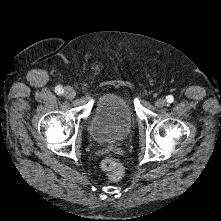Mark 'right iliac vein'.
Masks as SVG:
<instances>
[{"mask_svg":"<svg viewBox=\"0 0 221 221\" xmlns=\"http://www.w3.org/2000/svg\"><path fill=\"white\" fill-rule=\"evenodd\" d=\"M64 96H65L67 99H73V98H75L76 93H75V91H74L73 88H71V87H66V88H65V91H64Z\"/></svg>","mask_w":221,"mask_h":221,"instance_id":"63e3f726","label":"right iliac vein"}]
</instances>
